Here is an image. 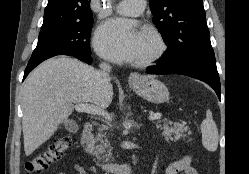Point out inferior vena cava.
I'll return each mask as SVG.
<instances>
[{
	"instance_id": "obj_1",
	"label": "inferior vena cava",
	"mask_w": 249,
	"mask_h": 174,
	"mask_svg": "<svg viewBox=\"0 0 249 174\" xmlns=\"http://www.w3.org/2000/svg\"><path fill=\"white\" fill-rule=\"evenodd\" d=\"M99 71L96 72V77L98 79V82L102 86H107L110 83V76L109 73L111 71V67L107 63H101L100 64Z\"/></svg>"
}]
</instances>
